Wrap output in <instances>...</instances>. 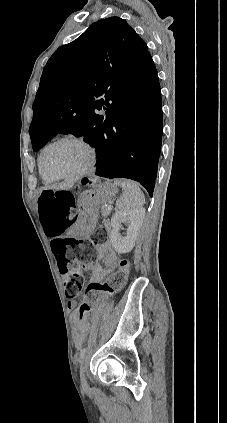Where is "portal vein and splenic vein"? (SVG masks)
<instances>
[{"label":"portal vein and splenic vein","instance_id":"18ae733b","mask_svg":"<svg viewBox=\"0 0 227 423\" xmlns=\"http://www.w3.org/2000/svg\"><path fill=\"white\" fill-rule=\"evenodd\" d=\"M113 206H108L107 210H112Z\"/></svg>","mask_w":227,"mask_h":423}]
</instances>
